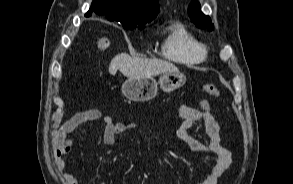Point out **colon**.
<instances>
[{
    "instance_id": "1",
    "label": "colon",
    "mask_w": 293,
    "mask_h": 184,
    "mask_svg": "<svg viewBox=\"0 0 293 184\" xmlns=\"http://www.w3.org/2000/svg\"><path fill=\"white\" fill-rule=\"evenodd\" d=\"M110 41L107 37L101 36L97 37L93 43V49L96 52H103L108 49ZM202 89L208 95L218 97L220 95L219 89L213 84H204ZM70 150V141L67 135H62L58 137L56 144V151L58 155L67 154Z\"/></svg>"
}]
</instances>
